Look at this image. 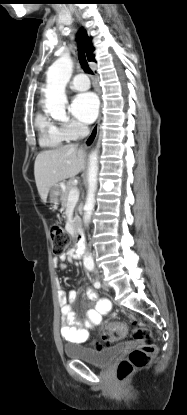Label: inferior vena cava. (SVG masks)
<instances>
[{"instance_id":"1","label":"inferior vena cava","mask_w":187,"mask_h":415,"mask_svg":"<svg viewBox=\"0 0 187 415\" xmlns=\"http://www.w3.org/2000/svg\"><path fill=\"white\" fill-rule=\"evenodd\" d=\"M79 134H80V136L82 138L83 137H86L89 134V128H88V126H86L84 124H80L79 125Z\"/></svg>"}]
</instances>
